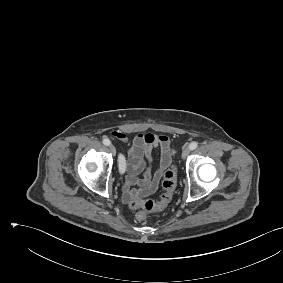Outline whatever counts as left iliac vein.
Segmentation results:
<instances>
[{"mask_svg": "<svg viewBox=\"0 0 283 283\" xmlns=\"http://www.w3.org/2000/svg\"><path fill=\"white\" fill-rule=\"evenodd\" d=\"M189 153H190L189 148L184 149L183 152H182V155H181L182 159H185L188 156Z\"/></svg>", "mask_w": 283, "mask_h": 283, "instance_id": "4c4485c4", "label": "left iliac vein"}]
</instances>
